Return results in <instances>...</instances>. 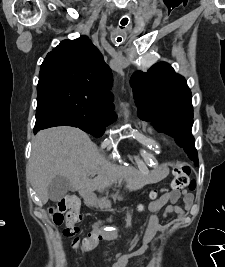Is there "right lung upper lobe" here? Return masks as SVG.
I'll use <instances>...</instances> for the list:
<instances>
[{
  "mask_svg": "<svg viewBox=\"0 0 225 267\" xmlns=\"http://www.w3.org/2000/svg\"><path fill=\"white\" fill-rule=\"evenodd\" d=\"M62 78L84 84L101 97L113 101L111 69L86 36L64 40L44 59L39 79Z\"/></svg>",
  "mask_w": 225,
  "mask_h": 267,
  "instance_id": "obj_1",
  "label": "right lung upper lobe"
}]
</instances>
